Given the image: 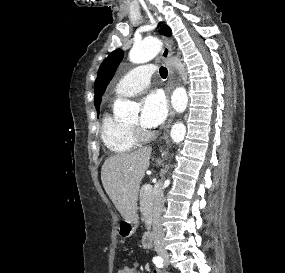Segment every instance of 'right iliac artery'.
Returning a JSON list of instances; mask_svg holds the SVG:
<instances>
[{
  "mask_svg": "<svg viewBox=\"0 0 285 273\" xmlns=\"http://www.w3.org/2000/svg\"><path fill=\"white\" fill-rule=\"evenodd\" d=\"M153 263L159 268L163 267V259L159 256L153 257Z\"/></svg>",
  "mask_w": 285,
  "mask_h": 273,
  "instance_id": "right-iliac-artery-1",
  "label": "right iliac artery"
}]
</instances>
